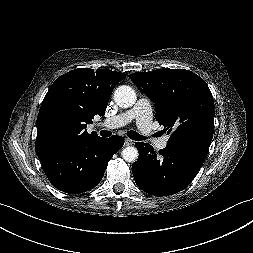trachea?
<instances>
[{
    "mask_svg": "<svg viewBox=\"0 0 253 253\" xmlns=\"http://www.w3.org/2000/svg\"><path fill=\"white\" fill-rule=\"evenodd\" d=\"M111 132L107 131V130H102L100 132V135L103 137H109L111 136ZM127 135L129 138H131L132 140H144L146 139L144 136L140 135L139 133L135 132V131H128Z\"/></svg>",
    "mask_w": 253,
    "mask_h": 253,
    "instance_id": "3493384b",
    "label": "trachea"
}]
</instances>
